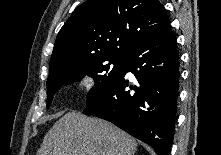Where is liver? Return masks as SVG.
<instances>
[{"label": "liver", "instance_id": "obj_1", "mask_svg": "<svg viewBox=\"0 0 221 155\" xmlns=\"http://www.w3.org/2000/svg\"><path fill=\"white\" fill-rule=\"evenodd\" d=\"M136 150V140L123 130L72 111L52 126L37 155H134Z\"/></svg>", "mask_w": 221, "mask_h": 155}]
</instances>
